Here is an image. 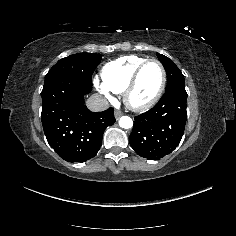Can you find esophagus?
I'll return each mask as SVG.
<instances>
[{
	"instance_id": "esophagus-1",
	"label": "esophagus",
	"mask_w": 236,
	"mask_h": 236,
	"mask_svg": "<svg viewBox=\"0 0 236 236\" xmlns=\"http://www.w3.org/2000/svg\"><path fill=\"white\" fill-rule=\"evenodd\" d=\"M123 115L120 111H115V118L118 120Z\"/></svg>"
}]
</instances>
